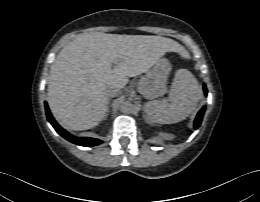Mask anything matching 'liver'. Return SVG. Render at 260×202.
I'll return each mask as SVG.
<instances>
[{
  "mask_svg": "<svg viewBox=\"0 0 260 202\" xmlns=\"http://www.w3.org/2000/svg\"><path fill=\"white\" fill-rule=\"evenodd\" d=\"M166 52L186 56L178 42L161 36L79 35L51 65L48 103L52 114L71 130L96 126L106 116L108 90L124 88L129 77L148 71Z\"/></svg>",
  "mask_w": 260,
  "mask_h": 202,
  "instance_id": "6515ba94",
  "label": "liver"
}]
</instances>
